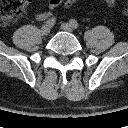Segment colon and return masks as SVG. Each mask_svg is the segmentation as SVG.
Wrapping results in <instances>:
<instances>
[{"label":"colon","mask_w":128,"mask_h":128,"mask_svg":"<svg viewBox=\"0 0 128 128\" xmlns=\"http://www.w3.org/2000/svg\"><path fill=\"white\" fill-rule=\"evenodd\" d=\"M107 5L113 6L116 0H103ZM75 0H67V5H72ZM27 0H0V24H6L23 15ZM128 16V4L123 9Z\"/></svg>","instance_id":"1"}]
</instances>
